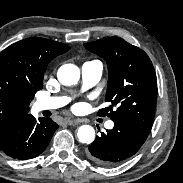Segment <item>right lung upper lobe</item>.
<instances>
[{
  "instance_id": "obj_1",
  "label": "right lung upper lobe",
  "mask_w": 183,
  "mask_h": 183,
  "mask_svg": "<svg viewBox=\"0 0 183 183\" xmlns=\"http://www.w3.org/2000/svg\"><path fill=\"white\" fill-rule=\"evenodd\" d=\"M69 46L45 38H27L0 53V136L28 114L34 94L43 86L48 63Z\"/></svg>"
}]
</instances>
